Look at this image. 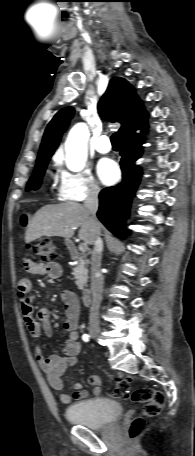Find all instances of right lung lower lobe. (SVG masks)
I'll list each match as a JSON object with an SVG mask.
<instances>
[{"instance_id":"right-lung-lower-lobe-1","label":"right lung lower lobe","mask_w":195,"mask_h":456,"mask_svg":"<svg viewBox=\"0 0 195 456\" xmlns=\"http://www.w3.org/2000/svg\"><path fill=\"white\" fill-rule=\"evenodd\" d=\"M145 128L146 124L140 129ZM142 143V137L136 133L123 138L120 152L122 182L117 186L104 188L99 195L98 218L113 234L121 237L128 233L124 228V223L140 181L141 169L135 165V161L141 156Z\"/></svg>"}]
</instances>
